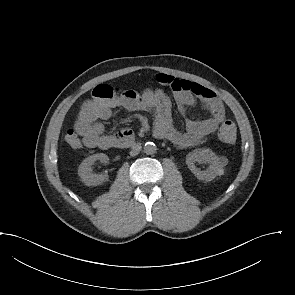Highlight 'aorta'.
<instances>
[{
	"instance_id": "aorta-1",
	"label": "aorta",
	"mask_w": 295,
	"mask_h": 295,
	"mask_svg": "<svg viewBox=\"0 0 295 295\" xmlns=\"http://www.w3.org/2000/svg\"><path fill=\"white\" fill-rule=\"evenodd\" d=\"M157 147L153 142H147L144 146V152L147 155H153L156 153Z\"/></svg>"
}]
</instances>
